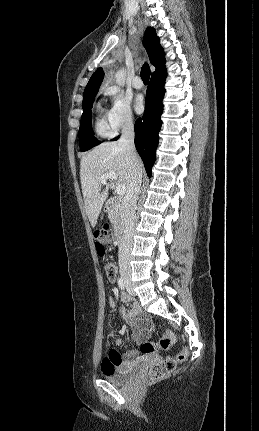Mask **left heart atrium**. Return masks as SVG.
Returning <instances> with one entry per match:
<instances>
[{
  "mask_svg": "<svg viewBox=\"0 0 259 431\" xmlns=\"http://www.w3.org/2000/svg\"><path fill=\"white\" fill-rule=\"evenodd\" d=\"M135 110L137 113H142L144 110V100L142 96H137L135 99Z\"/></svg>",
  "mask_w": 259,
  "mask_h": 431,
  "instance_id": "1",
  "label": "left heart atrium"
}]
</instances>
